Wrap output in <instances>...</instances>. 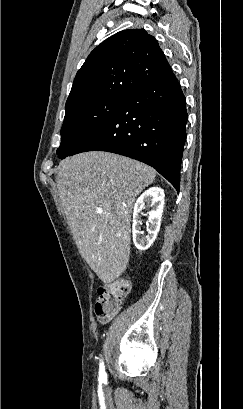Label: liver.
I'll return each mask as SVG.
<instances>
[{"label": "liver", "instance_id": "6515ba94", "mask_svg": "<svg viewBox=\"0 0 243 409\" xmlns=\"http://www.w3.org/2000/svg\"><path fill=\"white\" fill-rule=\"evenodd\" d=\"M155 176L148 165L104 151L59 163L62 208L82 257L103 282H112L127 268L133 204Z\"/></svg>", "mask_w": 243, "mask_h": 409}]
</instances>
